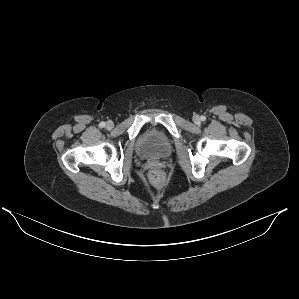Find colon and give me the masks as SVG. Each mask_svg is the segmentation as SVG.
<instances>
[{
    "label": "colon",
    "instance_id": "5ec220e1",
    "mask_svg": "<svg viewBox=\"0 0 299 299\" xmlns=\"http://www.w3.org/2000/svg\"><path fill=\"white\" fill-rule=\"evenodd\" d=\"M148 178L150 182L156 187H161L164 185L165 177L162 171H160L159 169H152L148 174Z\"/></svg>",
    "mask_w": 299,
    "mask_h": 299
}]
</instances>
